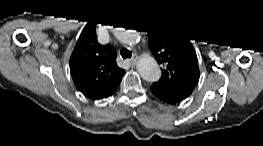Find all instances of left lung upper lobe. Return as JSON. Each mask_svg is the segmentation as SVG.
Here are the masks:
<instances>
[{"mask_svg": "<svg viewBox=\"0 0 263 146\" xmlns=\"http://www.w3.org/2000/svg\"><path fill=\"white\" fill-rule=\"evenodd\" d=\"M149 48L163 66L158 82L180 100L187 98L199 80L196 52L189 40L173 27L153 24L146 27Z\"/></svg>", "mask_w": 263, "mask_h": 146, "instance_id": "left-lung-upper-lobe-1", "label": "left lung upper lobe"}]
</instances>
